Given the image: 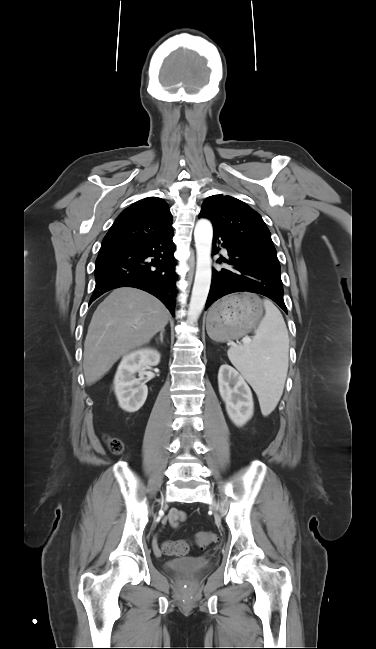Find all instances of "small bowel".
Here are the masks:
<instances>
[{
    "label": "small bowel",
    "mask_w": 376,
    "mask_h": 649,
    "mask_svg": "<svg viewBox=\"0 0 376 649\" xmlns=\"http://www.w3.org/2000/svg\"><path fill=\"white\" fill-rule=\"evenodd\" d=\"M185 518L186 514L184 511L174 508L170 511L168 520L173 527H177ZM154 552L156 555H161V550L158 547H155Z\"/></svg>",
    "instance_id": "small-bowel-1"
}]
</instances>
